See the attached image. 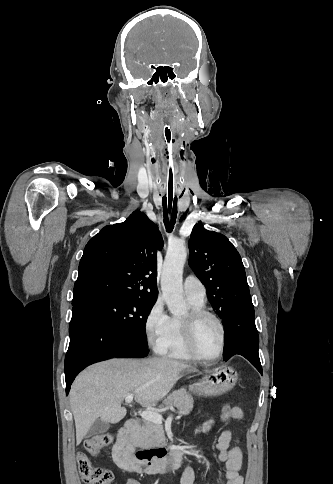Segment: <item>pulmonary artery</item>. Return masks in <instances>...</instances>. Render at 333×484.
Listing matches in <instances>:
<instances>
[{
    "label": "pulmonary artery",
    "mask_w": 333,
    "mask_h": 484,
    "mask_svg": "<svg viewBox=\"0 0 333 484\" xmlns=\"http://www.w3.org/2000/svg\"><path fill=\"white\" fill-rule=\"evenodd\" d=\"M184 292L187 298L199 303H204L206 290L202 282L194 275H188L183 283Z\"/></svg>",
    "instance_id": "1"
}]
</instances>
